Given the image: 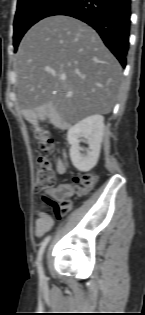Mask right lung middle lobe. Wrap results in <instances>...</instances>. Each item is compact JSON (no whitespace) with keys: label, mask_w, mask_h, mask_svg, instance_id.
I'll list each match as a JSON object with an SVG mask.
<instances>
[{"label":"right lung middle lobe","mask_w":145,"mask_h":315,"mask_svg":"<svg viewBox=\"0 0 145 315\" xmlns=\"http://www.w3.org/2000/svg\"><path fill=\"white\" fill-rule=\"evenodd\" d=\"M68 0H18L14 19L13 45L17 49L26 31L41 19L50 16Z\"/></svg>","instance_id":"dd1d6c3e"}]
</instances>
